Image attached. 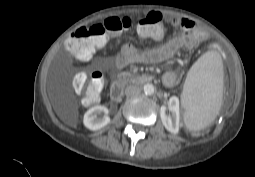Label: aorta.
Segmentation results:
<instances>
[{
	"mask_svg": "<svg viewBox=\"0 0 255 177\" xmlns=\"http://www.w3.org/2000/svg\"><path fill=\"white\" fill-rule=\"evenodd\" d=\"M154 90H155V88H154L153 84L147 83V84H145V85L143 86V91H144V93H145L146 95H151V94H153V93H154Z\"/></svg>",
	"mask_w": 255,
	"mask_h": 177,
	"instance_id": "aorta-1",
	"label": "aorta"
}]
</instances>
